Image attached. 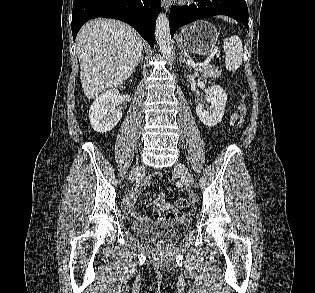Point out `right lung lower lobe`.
Wrapping results in <instances>:
<instances>
[{"label": "right lung lower lobe", "mask_w": 315, "mask_h": 293, "mask_svg": "<svg viewBox=\"0 0 315 293\" xmlns=\"http://www.w3.org/2000/svg\"><path fill=\"white\" fill-rule=\"evenodd\" d=\"M160 10V0H74L73 39L88 20L105 17L130 24L153 47L156 17Z\"/></svg>", "instance_id": "98d812e1"}]
</instances>
